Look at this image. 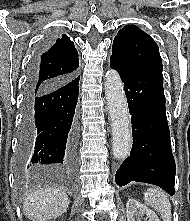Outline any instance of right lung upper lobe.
Wrapping results in <instances>:
<instances>
[{
    "label": "right lung upper lobe",
    "instance_id": "obj_1",
    "mask_svg": "<svg viewBox=\"0 0 190 221\" xmlns=\"http://www.w3.org/2000/svg\"><path fill=\"white\" fill-rule=\"evenodd\" d=\"M78 66V53L73 42L67 35H62L37 59L34 68V87L40 88L68 81L75 77Z\"/></svg>",
    "mask_w": 190,
    "mask_h": 221
}]
</instances>
